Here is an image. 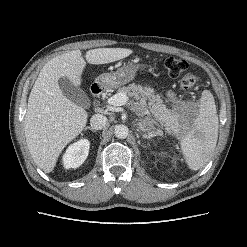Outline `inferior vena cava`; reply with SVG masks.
I'll return each instance as SVG.
<instances>
[{
  "label": "inferior vena cava",
  "instance_id": "inferior-vena-cava-1",
  "mask_svg": "<svg viewBox=\"0 0 247 247\" xmlns=\"http://www.w3.org/2000/svg\"><path fill=\"white\" fill-rule=\"evenodd\" d=\"M106 123H107V118L102 114H94L90 119V125L95 130L103 129Z\"/></svg>",
  "mask_w": 247,
  "mask_h": 247
}]
</instances>
